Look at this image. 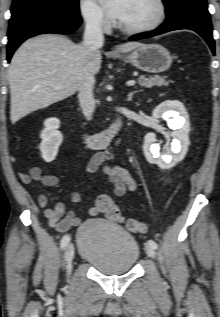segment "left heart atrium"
<instances>
[{"instance_id":"left-heart-atrium-1","label":"left heart atrium","mask_w":220,"mask_h":317,"mask_svg":"<svg viewBox=\"0 0 220 317\" xmlns=\"http://www.w3.org/2000/svg\"><path fill=\"white\" fill-rule=\"evenodd\" d=\"M129 1L130 0H100L106 13L118 21L124 18Z\"/></svg>"}]
</instances>
